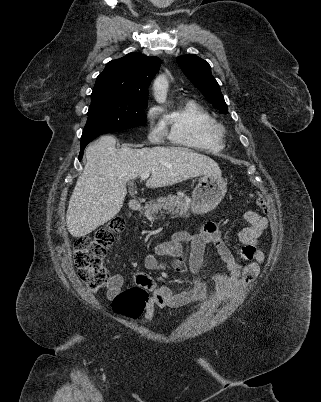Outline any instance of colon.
I'll list each match as a JSON object with an SVG mask.
<instances>
[{
	"label": "colon",
	"mask_w": 321,
	"mask_h": 402,
	"mask_svg": "<svg viewBox=\"0 0 321 402\" xmlns=\"http://www.w3.org/2000/svg\"><path fill=\"white\" fill-rule=\"evenodd\" d=\"M255 203L266 209V199L258 195ZM125 226V219L116 216L107 225L96 232L93 237H79L74 243V262L79 278L91 291L102 290L108 280L109 271L103 264V256L114 241L116 234ZM149 301L148 292L140 286L128 288L113 300L114 312L128 319H138L146 309Z\"/></svg>",
	"instance_id": "1"
}]
</instances>
